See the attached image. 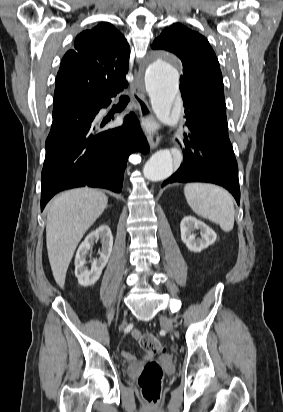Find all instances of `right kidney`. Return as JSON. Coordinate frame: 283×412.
Wrapping results in <instances>:
<instances>
[{"label":"right kidney","instance_id":"1","mask_svg":"<svg viewBox=\"0 0 283 412\" xmlns=\"http://www.w3.org/2000/svg\"><path fill=\"white\" fill-rule=\"evenodd\" d=\"M101 240V252L98 259L91 262V268L85 266L86 255L95 241ZM113 247V236L107 225H101L95 231L87 235L79 246L75 256V276L82 286L94 285L101 276L102 270L106 266Z\"/></svg>","mask_w":283,"mask_h":412}]
</instances>
